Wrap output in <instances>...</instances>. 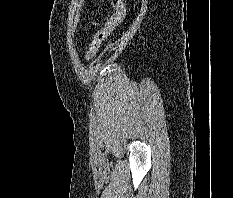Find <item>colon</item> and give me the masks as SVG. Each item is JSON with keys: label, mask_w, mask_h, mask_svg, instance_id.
Listing matches in <instances>:
<instances>
[{"label": "colon", "mask_w": 233, "mask_h": 198, "mask_svg": "<svg viewBox=\"0 0 233 198\" xmlns=\"http://www.w3.org/2000/svg\"><path fill=\"white\" fill-rule=\"evenodd\" d=\"M111 3L115 12L94 36V39L91 42L86 55L87 60H91L95 57L103 42L114 31V29L125 19L126 6L124 0H111Z\"/></svg>", "instance_id": "5ec220e1"}]
</instances>
